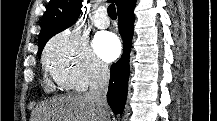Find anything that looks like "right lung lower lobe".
<instances>
[{"instance_id":"right-lung-lower-lobe-1","label":"right lung lower lobe","mask_w":217,"mask_h":121,"mask_svg":"<svg viewBox=\"0 0 217 121\" xmlns=\"http://www.w3.org/2000/svg\"><path fill=\"white\" fill-rule=\"evenodd\" d=\"M136 0H123L117 7L118 27L123 38L124 53L119 61L112 65L110 73L109 89L107 93L108 103L115 114H121L124 109L129 78V53L133 36L134 6Z\"/></svg>"}]
</instances>
